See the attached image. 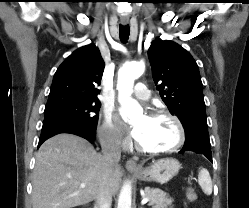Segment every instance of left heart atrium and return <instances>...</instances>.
I'll return each mask as SVG.
<instances>
[{
    "instance_id": "obj_1",
    "label": "left heart atrium",
    "mask_w": 249,
    "mask_h": 208,
    "mask_svg": "<svg viewBox=\"0 0 249 208\" xmlns=\"http://www.w3.org/2000/svg\"><path fill=\"white\" fill-rule=\"evenodd\" d=\"M142 132H143V128L142 126H139V125H136L134 128L130 130L131 136L136 140H138L141 137Z\"/></svg>"
}]
</instances>
